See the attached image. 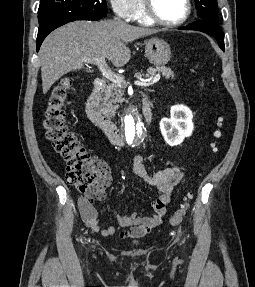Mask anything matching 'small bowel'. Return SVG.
Listing matches in <instances>:
<instances>
[{
  "label": "small bowel",
  "mask_w": 255,
  "mask_h": 287,
  "mask_svg": "<svg viewBox=\"0 0 255 287\" xmlns=\"http://www.w3.org/2000/svg\"><path fill=\"white\" fill-rule=\"evenodd\" d=\"M133 172L147 185L158 190L152 201L153 213L150 216H140L138 213L122 214L115 211L114 215L122 227L127 228L120 234L122 237H141L148 234L154 227L163 222L167 211V206L171 201L175 187L181 182L183 172L179 166H170L154 173H149L143 163L141 155H136L133 159ZM111 173L109 169L101 165V176L97 187L78 200L79 210L84 223L94 232L100 233L104 237L116 234L113 226L102 227L98 220V213L94 207L95 200L106 198V188L110 185Z\"/></svg>",
  "instance_id": "small-bowel-1"
}]
</instances>
